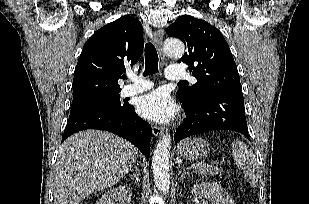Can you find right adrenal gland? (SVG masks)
<instances>
[{"instance_id":"obj_1","label":"right adrenal gland","mask_w":309,"mask_h":204,"mask_svg":"<svg viewBox=\"0 0 309 204\" xmlns=\"http://www.w3.org/2000/svg\"><path fill=\"white\" fill-rule=\"evenodd\" d=\"M138 175H139V170L137 168H135L134 173L130 177H133V179H135V182L138 183V182H140Z\"/></svg>"}]
</instances>
